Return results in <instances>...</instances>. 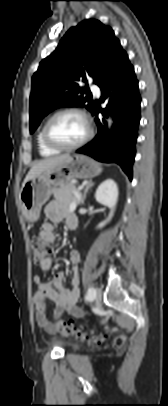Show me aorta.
I'll return each instance as SVG.
<instances>
[{
    "mask_svg": "<svg viewBox=\"0 0 168 406\" xmlns=\"http://www.w3.org/2000/svg\"><path fill=\"white\" fill-rule=\"evenodd\" d=\"M108 125H109V126L111 125V122H110V121H109Z\"/></svg>",
    "mask_w": 168,
    "mask_h": 406,
    "instance_id": "obj_1",
    "label": "aorta"
}]
</instances>
